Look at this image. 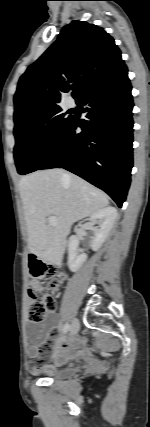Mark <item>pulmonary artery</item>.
Listing matches in <instances>:
<instances>
[{
  "instance_id": "e3ab8cb5",
  "label": "pulmonary artery",
  "mask_w": 150,
  "mask_h": 427,
  "mask_svg": "<svg viewBox=\"0 0 150 427\" xmlns=\"http://www.w3.org/2000/svg\"><path fill=\"white\" fill-rule=\"evenodd\" d=\"M74 104H75V102H74V100H73L71 97L67 98V100H66V105H67L68 107H73V106H74Z\"/></svg>"
}]
</instances>
